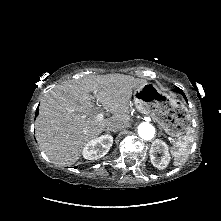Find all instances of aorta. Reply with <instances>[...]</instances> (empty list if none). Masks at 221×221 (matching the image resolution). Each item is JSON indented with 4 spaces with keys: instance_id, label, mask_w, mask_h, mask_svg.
<instances>
[{
    "instance_id": "762f6f07",
    "label": "aorta",
    "mask_w": 221,
    "mask_h": 221,
    "mask_svg": "<svg viewBox=\"0 0 221 221\" xmlns=\"http://www.w3.org/2000/svg\"><path fill=\"white\" fill-rule=\"evenodd\" d=\"M155 128L152 124L143 122L138 126V135L144 140H151L154 137Z\"/></svg>"
}]
</instances>
